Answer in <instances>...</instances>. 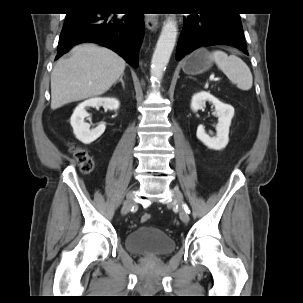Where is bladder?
Here are the masks:
<instances>
[{
    "label": "bladder",
    "instance_id": "obj_1",
    "mask_svg": "<svg viewBox=\"0 0 303 303\" xmlns=\"http://www.w3.org/2000/svg\"><path fill=\"white\" fill-rule=\"evenodd\" d=\"M125 250L144 257H165L175 251L176 243L164 231L153 226H139L129 232L124 241Z\"/></svg>",
    "mask_w": 303,
    "mask_h": 303
}]
</instances>
